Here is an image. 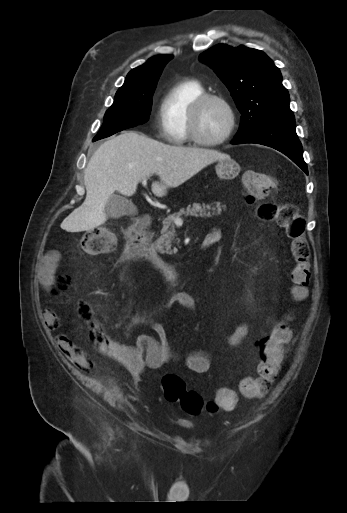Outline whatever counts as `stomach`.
Here are the masks:
<instances>
[{
	"instance_id": "0dacf381",
	"label": "stomach",
	"mask_w": 347,
	"mask_h": 513,
	"mask_svg": "<svg viewBox=\"0 0 347 513\" xmlns=\"http://www.w3.org/2000/svg\"><path fill=\"white\" fill-rule=\"evenodd\" d=\"M240 165L232 158L219 160L215 166L216 174L220 179L232 180L240 173Z\"/></svg>"
}]
</instances>
